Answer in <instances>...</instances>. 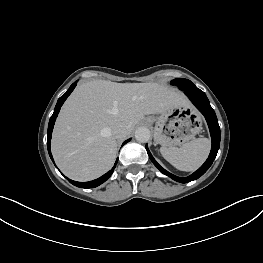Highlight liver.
Listing matches in <instances>:
<instances>
[{
  "label": "liver",
  "mask_w": 263,
  "mask_h": 263,
  "mask_svg": "<svg viewBox=\"0 0 263 263\" xmlns=\"http://www.w3.org/2000/svg\"><path fill=\"white\" fill-rule=\"evenodd\" d=\"M185 103L181 92L157 83H82L56 120L51 142L55 162L73 180L96 179L115 161L118 144L112 128L116 124H124L129 135L145 115Z\"/></svg>",
  "instance_id": "liver-1"
}]
</instances>
